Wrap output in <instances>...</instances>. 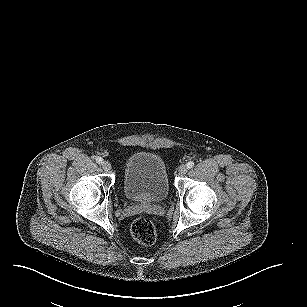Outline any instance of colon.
I'll list each match as a JSON object with an SVG mask.
<instances>
[{
	"label": "colon",
	"instance_id": "5ec220e1",
	"mask_svg": "<svg viewBox=\"0 0 307 307\" xmlns=\"http://www.w3.org/2000/svg\"><path fill=\"white\" fill-rule=\"evenodd\" d=\"M133 238L143 245H152L156 241V229L153 222L146 218H138L131 225Z\"/></svg>",
	"mask_w": 307,
	"mask_h": 307
}]
</instances>
